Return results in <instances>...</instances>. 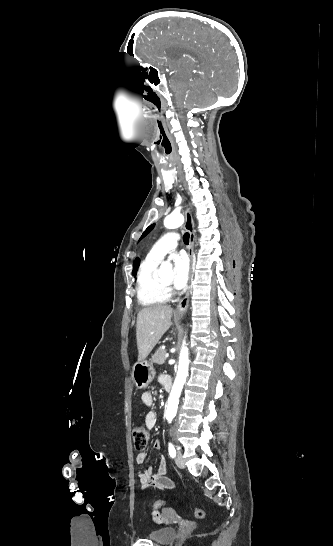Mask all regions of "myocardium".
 Wrapping results in <instances>:
<instances>
[{
	"label": "myocardium",
	"mask_w": 333,
	"mask_h": 546,
	"mask_svg": "<svg viewBox=\"0 0 333 546\" xmlns=\"http://www.w3.org/2000/svg\"><path fill=\"white\" fill-rule=\"evenodd\" d=\"M161 285L168 294L171 293L170 285H166V284H163V283H161Z\"/></svg>",
	"instance_id": "1"
}]
</instances>
